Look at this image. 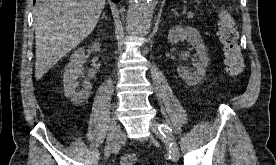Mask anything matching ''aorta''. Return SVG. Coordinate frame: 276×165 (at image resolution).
<instances>
[{
  "instance_id": "aorta-1",
  "label": "aorta",
  "mask_w": 276,
  "mask_h": 165,
  "mask_svg": "<svg viewBox=\"0 0 276 165\" xmlns=\"http://www.w3.org/2000/svg\"><path fill=\"white\" fill-rule=\"evenodd\" d=\"M157 2L158 0H129L127 27L131 33L137 36L148 34Z\"/></svg>"
}]
</instances>
